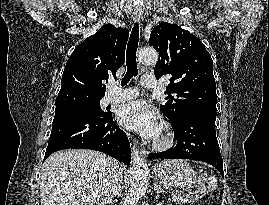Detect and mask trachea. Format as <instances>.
I'll return each mask as SVG.
<instances>
[{
	"mask_svg": "<svg viewBox=\"0 0 269 205\" xmlns=\"http://www.w3.org/2000/svg\"><path fill=\"white\" fill-rule=\"evenodd\" d=\"M139 42V27L136 23L132 29L129 42L127 45L126 51V65H127V72L124 78L121 81V85L125 86L130 79L138 74L137 62H136V51L138 48Z\"/></svg>",
	"mask_w": 269,
	"mask_h": 205,
	"instance_id": "obj_1",
	"label": "trachea"
}]
</instances>
